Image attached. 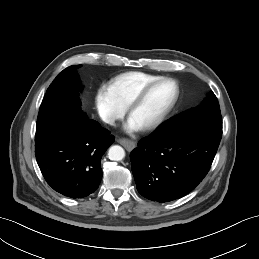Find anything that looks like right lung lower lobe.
Masks as SVG:
<instances>
[{
    "mask_svg": "<svg viewBox=\"0 0 259 259\" xmlns=\"http://www.w3.org/2000/svg\"><path fill=\"white\" fill-rule=\"evenodd\" d=\"M114 142L110 132L91 119H54L35 135V155L47 183L60 194L83 198L99 186L101 157Z\"/></svg>",
    "mask_w": 259,
    "mask_h": 259,
    "instance_id": "1",
    "label": "right lung lower lobe"
}]
</instances>
